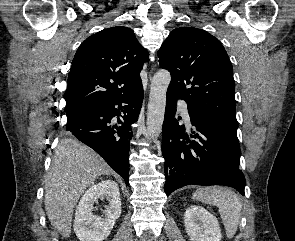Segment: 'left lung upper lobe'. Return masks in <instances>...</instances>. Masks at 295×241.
Instances as JSON below:
<instances>
[{
    "instance_id": "1",
    "label": "left lung upper lobe",
    "mask_w": 295,
    "mask_h": 241,
    "mask_svg": "<svg viewBox=\"0 0 295 241\" xmlns=\"http://www.w3.org/2000/svg\"><path fill=\"white\" fill-rule=\"evenodd\" d=\"M158 57L171 73L168 91L183 99L188 111L237 130L232 64L218 39L202 29L176 28Z\"/></svg>"
}]
</instances>
